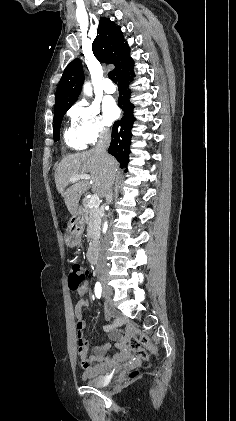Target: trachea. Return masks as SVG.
<instances>
[{"instance_id":"3493384b","label":"trachea","mask_w":236,"mask_h":421,"mask_svg":"<svg viewBox=\"0 0 236 421\" xmlns=\"http://www.w3.org/2000/svg\"><path fill=\"white\" fill-rule=\"evenodd\" d=\"M108 77L110 78V80H112V82L117 83V78H116L115 73L113 71H110L108 73Z\"/></svg>"}]
</instances>
